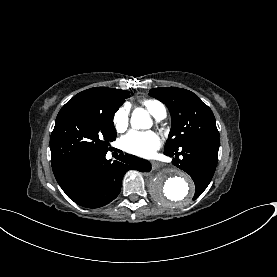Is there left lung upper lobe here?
<instances>
[{
	"instance_id": "5c2ea615",
	"label": "left lung upper lobe",
	"mask_w": 277,
	"mask_h": 277,
	"mask_svg": "<svg viewBox=\"0 0 277 277\" xmlns=\"http://www.w3.org/2000/svg\"><path fill=\"white\" fill-rule=\"evenodd\" d=\"M149 95L166 104L171 113L172 127L165 151L174 150L201 137H219L211 109L193 92L162 87L151 89Z\"/></svg>"
}]
</instances>
